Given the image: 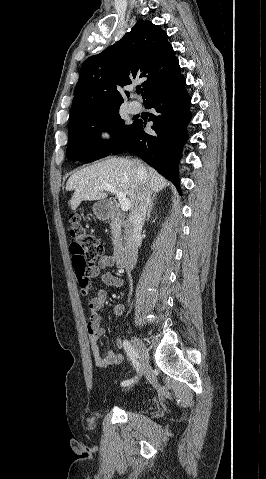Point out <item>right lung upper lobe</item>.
Instances as JSON below:
<instances>
[{
  "mask_svg": "<svg viewBox=\"0 0 266 479\" xmlns=\"http://www.w3.org/2000/svg\"><path fill=\"white\" fill-rule=\"evenodd\" d=\"M180 74L166 32L148 20H138L120 41L84 61L70 121L119 108L124 100L116 83L125 86L135 78H145L142 87L146 99Z\"/></svg>",
  "mask_w": 266,
  "mask_h": 479,
  "instance_id": "cb5924a9",
  "label": "right lung upper lobe"
}]
</instances>
